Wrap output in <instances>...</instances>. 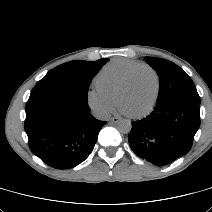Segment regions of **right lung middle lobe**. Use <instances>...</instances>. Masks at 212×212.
<instances>
[{
	"mask_svg": "<svg viewBox=\"0 0 212 212\" xmlns=\"http://www.w3.org/2000/svg\"><path fill=\"white\" fill-rule=\"evenodd\" d=\"M107 61L108 59H99L94 62L74 60L61 64L38 81L31 92L65 91L86 99L90 80Z\"/></svg>",
	"mask_w": 212,
	"mask_h": 212,
	"instance_id": "dd1d6c3e",
	"label": "right lung middle lobe"
}]
</instances>
